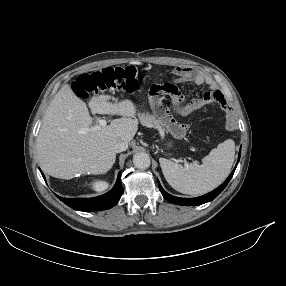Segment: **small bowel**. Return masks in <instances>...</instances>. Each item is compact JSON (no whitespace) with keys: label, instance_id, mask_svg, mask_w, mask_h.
<instances>
[{"label":"small bowel","instance_id":"small-bowel-1","mask_svg":"<svg viewBox=\"0 0 286 286\" xmlns=\"http://www.w3.org/2000/svg\"><path fill=\"white\" fill-rule=\"evenodd\" d=\"M174 74L177 76V82H193L197 85L208 84L212 87L211 91L203 93L200 97L194 98L191 101L185 103L183 96L178 94L174 96L176 103V112L181 116H188L193 112L201 109L209 103H219L223 108H227L226 100L223 94L215 88L209 77L200 70H196L189 66H178L174 69Z\"/></svg>","mask_w":286,"mask_h":286}]
</instances>
